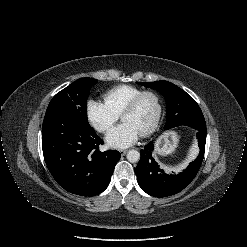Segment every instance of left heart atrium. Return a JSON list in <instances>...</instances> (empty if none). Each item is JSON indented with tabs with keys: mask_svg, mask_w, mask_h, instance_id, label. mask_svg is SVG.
<instances>
[{
	"mask_svg": "<svg viewBox=\"0 0 247 247\" xmlns=\"http://www.w3.org/2000/svg\"><path fill=\"white\" fill-rule=\"evenodd\" d=\"M139 135V131L131 123L123 122L108 132L106 142L113 148H126L134 144Z\"/></svg>",
	"mask_w": 247,
	"mask_h": 247,
	"instance_id": "left-heart-atrium-1",
	"label": "left heart atrium"
}]
</instances>
